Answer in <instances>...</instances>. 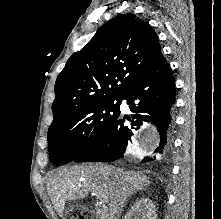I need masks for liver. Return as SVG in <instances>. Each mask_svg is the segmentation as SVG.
I'll return each mask as SVG.
<instances>
[{"label": "liver", "mask_w": 221, "mask_h": 219, "mask_svg": "<svg viewBox=\"0 0 221 219\" xmlns=\"http://www.w3.org/2000/svg\"><path fill=\"white\" fill-rule=\"evenodd\" d=\"M149 183V178L139 172L86 163L55 171L47 183V192L59 216L63 215L67 201L85 198L90 191L105 201L113 216L120 214L127 199Z\"/></svg>", "instance_id": "1"}]
</instances>
